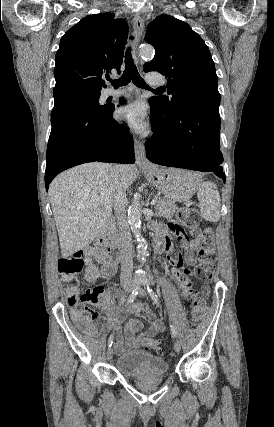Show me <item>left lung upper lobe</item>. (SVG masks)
<instances>
[{
    "mask_svg": "<svg viewBox=\"0 0 274 427\" xmlns=\"http://www.w3.org/2000/svg\"><path fill=\"white\" fill-rule=\"evenodd\" d=\"M145 40L154 46L155 56L144 71L165 75L170 95L151 99L167 111L189 105L219 110L218 77L210 51L187 23L162 14L148 25Z\"/></svg>",
    "mask_w": 274,
    "mask_h": 427,
    "instance_id": "1",
    "label": "left lung upper lobe"
}]
</instances>
